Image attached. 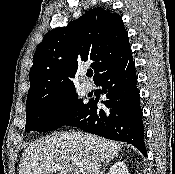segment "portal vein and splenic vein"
<instances>
[{"instance_id": "1", "label": "portal vein and splenic vein", "mask_w": 175, "mask_h": 174, "mask_svg": "<svg viewBox=\"0 0 175 174\" xmlns=\"http://www.w3.org/2000/svg\"><path fill=\"white\" fill-rule=\"evenodd\" d=\"M70 162L76 165L79 168L80 174H86L83 165L79 162V160L75 157L69 158Z\"/></svg>"}]
</instances>
